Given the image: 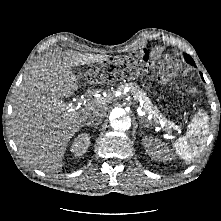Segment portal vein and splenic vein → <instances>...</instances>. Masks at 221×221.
<instances>
[{"label":"portal vein and splenic vein","instance_id":"1","mask_svg":"<svg viewBox=\"0 0 221 221\" xmlns=\"http://www.w3.org/2000/svg\"><path fill=\"white\" fill-rule=\"evenodd\" d=\"M76 104H77L76 107H77V108H80L82 104L85 105V102L83 103L82 101H77ZM142 107H143V102L140 103V108H139V110H140L139 113L143 115L144 112L141 111V108H142ZM149 117L152 118L153 115L150 114ZM158 123H160V125L162 126V128H163V127L165 126V124L167 123V124L170 125V128H172V129H174V130H176V131H178V132L181 131V128H180L179 126H177V125H175V124H173V123H170V122L167 121V120H164V119L159 118ZM168 133H169V131H168Z\"/></svg>","mask_w":221,"mask_h":221}]
</instances>
